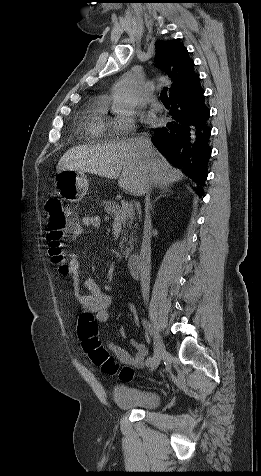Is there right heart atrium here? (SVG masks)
I'll return each mask as SVG.
<instances>
[{
  "instance_id": "obj_1",
  "label": "right heart atrium",
  "mask_w": 261,
  "mask_h": 476,
  "mask_svg": "<svg viewBox=\"0 0 261 476\" xmlns=\"http://www.w3.org/2000/svg\"><path fill=\"white\" fill-rule=\"evenodd\" d=\"M136 119L134 113L117 116L109 123V134L113 137H123L135 131Z\"/></svg>"
}]
</instances>
